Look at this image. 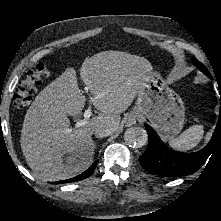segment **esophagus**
Returning <instances> with one entry per match:
<instances>
[{
    "mask_svg": "<svg viewBox=\"0 0 221 221\" xmlns=\"http://www.w3.org/2000/svg\"><path fill=\"white\" fill-rule=\"evenodd\" d=\"M138 119V116L136 113H130L127 117H126V126L130 127L134 124H136Z\"/></svg>",
    "mask_w": 221,
    "mask_h": 221,
    "instance_id": "34e87169",
    "label": "esophagus"
}]
</instances>
